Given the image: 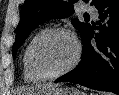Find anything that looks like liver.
I'll return each mask as SVG.
<instances>
[{
	"label": "liver",
	"mask_w": 119,
	"mask_h": 95,
	"mask_svg": "<svg viewBox=\"0 0 119 95\" xmlns=\"http://www.w3.org/2000/svg\"><path fill=\"white\" fill-rule=\"evenodd\" d=\"M50 87H54L52 84H46L43 86H40V88H50Z\"/></svg>",
	"instance_id": "1"
}]
</instances>
